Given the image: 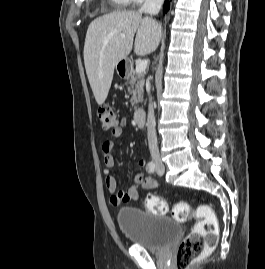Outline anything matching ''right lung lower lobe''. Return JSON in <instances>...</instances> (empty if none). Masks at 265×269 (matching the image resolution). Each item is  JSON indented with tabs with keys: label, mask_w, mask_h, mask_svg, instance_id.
Returning <instances> with one entry per match:
<instances>
[{
	"label": "right lung lower lobe",
	"mask_w": 265,
	"mask_h": 269,
	"mask_svg": "<svg viewBox=\"0 0 265 269\" xmlns=\"http://www.w3.org/2000/svg\"><path fill=\"white\" fill-rule=\"evenodd\" d=\"M169 6H170L169 0H166L163 8V13H166L169 10Z\"/></svg>",
	"instance_id": "right-lung-lower-lobe-1"
}]
</instances>
